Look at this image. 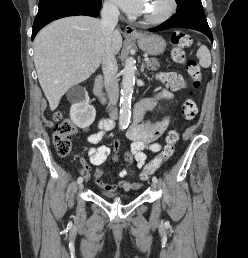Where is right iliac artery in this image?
Wrapping results in <instances>:
<instances>
[{
  "instance_id": "82829eb1",
  "label": "right iliac artery",
  "mask_w": 248,
  "mask_h": 258,
  "mask_svg": "<svg viewBox=\"0 0 248 258\" xmlns=\"http://www.w3.org/2000/svg\"><path fill=\"white\" fill-rule=\"evenodd\" d=\"M82 181H83V178H82V177H79V178L77 179V182H78V183H82Z\"/></svg>"
}]
</instances>
